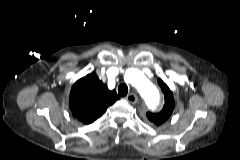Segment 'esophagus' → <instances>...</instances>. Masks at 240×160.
<instances>
[{
  "label": "esophagus",
  "instance_id": "obj_1",
  "mask_svg": "<svg viewBox=\"0 0 240 160\" xmlns=\"http://www.w3.org/2000/svg\"><path fill=\"white\" fill-rule=\"evenodd\" d=\"M125 99H126L129 103H131V104H135V103L138 102L137 96H136L135 94H133V93L128 94V95L125 97Z\"/></svg>",
  "mask_w": 240,
  "mask_h": 160
}]
</instances>
